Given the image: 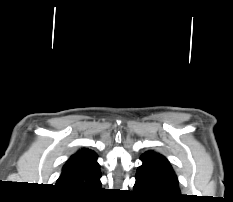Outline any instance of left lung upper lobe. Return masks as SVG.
<instances>
[{
	"mask_svg": "<svg viewBox=\"0 0 233 202\" xmlns=\"http://www.w3.org/2000/svg\"><path fill=\"white\" fill-rule=\"evenodd\" d=\"M141 160L143 164L137 169V173H144L157 183L179 189L177 176L169 161L163 155L148 151L141 156Z\"/></svg>",
	"mask_w": 233,
	"mask_h": 202,
	"instance_id": "obj_1",
	"label": "left lung upper lobe"
}]
</instances>
